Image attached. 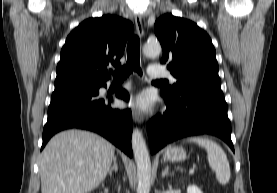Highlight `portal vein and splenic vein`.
Masks as SVG:
<instances>
[{
	"mask_svg": "<svg viewBox=\"0 0 277 193\" xmlns=\"http://www.w3.org/2000/svg\"><path fill=\"white\" fill-rule=\"evenodd\" d=\"M194 171H195L194 168H191V169L189 170V173H190V174H193Z\"/></svg>",
	"mask_w": 277,
	"mask_h": 193,
	"instance_id": "1",
	"label": "portal vein and splenic vein"
}]
</instances>
